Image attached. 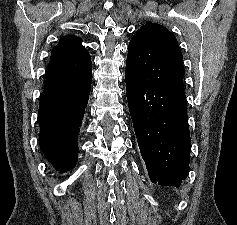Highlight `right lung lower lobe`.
<instances>
[{"label": "right lung lower lobe", "instance_id": "obj_1", "mask_svg": "<svg viewBox=\"0 0 237 225\" xmlns=\"http://www.w3.org/2000/svg\"><path fill=\"white\" fill-rule=\"evenodd\" d=\"M91 81L75 89L48 90L40 95V148L61 172L72 169L77 162V137L89 99Z\"/></svg>", "mask_w": 237, "mask_h": 225}]
</instances>
